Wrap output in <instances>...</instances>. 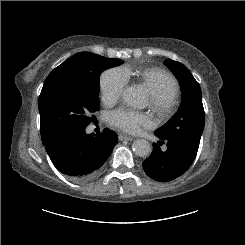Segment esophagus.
Instances as JSON below:
<instances>
[{
	"mask_svg": "<svg viewBox=\"0 0 245 245\" xmlns=\"http://www.w3.org/2000/svg\"><path fill=\"white\" fill-rule=\"evenodd\" d=\"M118 138L120 141H124V140L132 141L134 139V137L124 135V134H119Z\"/></svg>",
	"mask_w": 245,
	"mask_h": 245,
	"instance_id": "1",
	"label": "esophagus"
}]
</instances>
